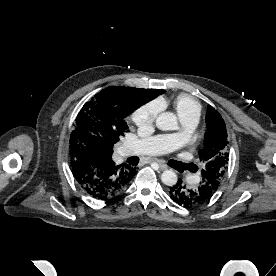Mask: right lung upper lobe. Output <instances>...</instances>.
Wrapping results in <instances>:
<instances>
[{
    "instance_id": "cb5924a9",
    "label": "right lung upper lobe",
    "mask_w": 276,
    "mask_h": 276,
    "mask_svg": "<svg viewBox=\"0 0 276 276\" xmlns=\"http://www.w3.org/2000/svg\"><path fill=\"white\" fill-rule=\"evenodd\" d=\"M110 88H113V89H116V90H119V91H122V92H128V91L131 90V88H129V87L128 88H126V87H110ZM144 90L149 92V94L151 95L145 101L151 100V99L157 97L159 94L165 93V91L163 89H144ZM112 154H113V149L105 152L100 158L101 159H112Z\"/></svg>"
}]
</instances>
